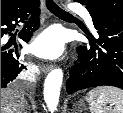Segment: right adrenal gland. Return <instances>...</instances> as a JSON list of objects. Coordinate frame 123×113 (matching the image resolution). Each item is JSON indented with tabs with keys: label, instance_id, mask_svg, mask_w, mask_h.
I'll use <instances>...</instances> for the list:
<instances>
[{
	"label": "right adrenal gland",
	"instance_id": "obj_1",
	"mask_svg": "<svg viewBox=\"0 0 123 113\" xmlns=\"http://www.w3.org/2000/svg\"><path fill=\"white\" fill-rule=\"evenodd\" d=\"M28 110H30V109H29L28 105H26L23 113H30Z\"/></svg>",
	"mask_w": 123,
	"mask_h": 113
}]
</instances>
